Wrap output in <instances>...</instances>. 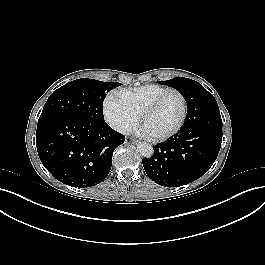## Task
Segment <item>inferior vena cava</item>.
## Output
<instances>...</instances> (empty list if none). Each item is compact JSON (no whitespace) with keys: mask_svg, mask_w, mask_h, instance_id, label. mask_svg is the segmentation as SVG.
<instances>
[{"mask_svg":"<svg viewBox=\"0 0 265 265\" xmlns=\"http://www.w3.org/2000/svg\"><path fill=\"white\" fill-rule=\"evenodd\" d=\"M111 127L121 133H126L128 131L127 125L119 121H111Z\"/></svg>","mask_w":265,"mask_h":265,"instance_id":"obj_1","label":"inferior vena cava"}]
</instances>
